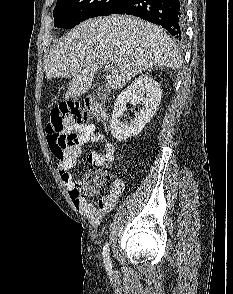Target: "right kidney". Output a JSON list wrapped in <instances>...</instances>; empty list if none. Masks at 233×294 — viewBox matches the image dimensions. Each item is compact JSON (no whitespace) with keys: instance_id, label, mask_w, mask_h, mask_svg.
Wrapping results in <instances>:
<instances>
[{"instance_id":"ca27d5eb","label":"right kidney","mask_w":233,"mask_h":294,"mask_svg":"<svg viewBox=\"0 0 233 294\" xmlns=\"http://www.w3.org/2000/svg\"><path fill=\"white\" fill-rule=\"evenodd\" d=\"M162 91L160 85L150 76L141 75L122 91L114 103L111 118V133L119 141L138 135L144 126L154 116L161 101ZM127 103L133 105L142 103L143 107L135 118L128 123L120 121L126 110Z\"/></svg>"}]
</instances>
